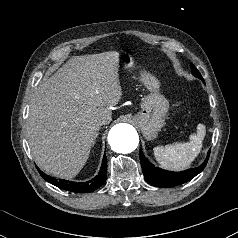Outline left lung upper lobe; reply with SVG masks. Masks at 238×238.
<instances>
[{
  "mask_svg": "<svg viewBox=\"0 0 238 238\" xmlns=\"http://www.w3.org/2000/svg\"><path fill=\"white\" fill-rule=\"evenodd\" d=\"M192 74L195 76V77H198L200 78L203 82H204V79L202 78L200 72L195 68V66L192 64Z\"/></svg>",
  "mask_w": 238,
  "mask_h": 238,
  "instance_id": "left-lung-upper-lobe-1",
  "label": "left lung upper lobe"
}]
</instances>
